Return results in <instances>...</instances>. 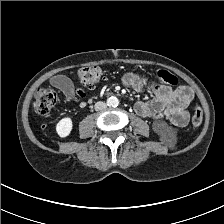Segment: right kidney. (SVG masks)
I'll return each instance as SVG.
<instances>
[{"instance_id":"ca27d5eb","label":"right kidney","mask_w":224,"mask_h":224,"mask_svg":"<svg viewBox=\"0 0 224 224\" xmlns=\"http://www.w3.org/2000/svg\"><path fill=\"white\" fill-rule=\"evenodd\" d=\"M72 128H73V123L71 118L65 117L57 123L56 132L60 137L64 138L69 136Z\"/></svg>"}]
</instances>
